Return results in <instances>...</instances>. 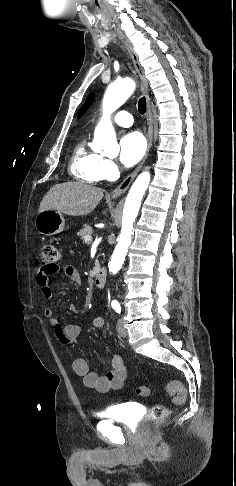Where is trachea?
Segmentation results:
<instances>
[{
  "label": "trachea",
  "instance_id": "trachea-1",
  "mask_svg": "<svg viewBox=\"0 0 236 486\" xmlns=\"http://www.w3.org/2000/svg\"><path fill=\"white\" fill-rule=\"evenodd\" d=\"M138 111L140 114H144L146 111V99L145 97L140 98L138 101Z\"/></svg>",
  "mask_w": 236,
  "mask_h": 486
}]
</instances>
